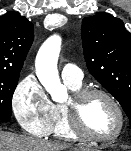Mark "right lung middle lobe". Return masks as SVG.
Here are the masks:
<instances>
[{"label": "right lung middle lobe", "instance_id": "dd1d6c3e", "mask_svg": "<svg viewBox=\"0 0 131 151\" xmlns=\"http://www.w3.org/2000/svg\"><path fill=\"white\" fill-rule=\"evenodd\" d=\"M19 73H0V120L11 118V102Z\"/></svg>", "mask_w": 131, "mask_h": 151}]
</instances>
